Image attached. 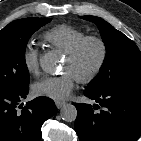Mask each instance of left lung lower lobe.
Instances as JSON below:
<instances>
[{"mask_svg": "<svg viewBox=\"0 0 141 141\" xmlns=\"http://www.w3.org/2000/svg\"><path fill=\"white\" fill-rule=\"evenodd\" d=\"M85 96L103 107L89 104L77 108L75 130L80 141H136L141 135V87L113 86Z\"/></svg>", "mask_w": 141, "mask_h": 141, "instance_id": "0a47b994", "label": "left lung lower lobe"}]
</instances>
